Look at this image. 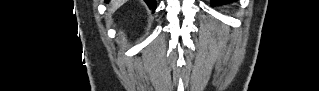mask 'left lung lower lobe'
Here are the masks:
<instances>
[{
    "label": "left lung lower lobe",
    "mask_w": 319,
    "mask_h": 91,
    "mask_svg": "<svg viewBox=\"0 0 319 91\" xmlns=\"http://www.w3.org/2000/svg\"><path fill=\"white\" fill-rule=\"evenodd\" d=\"M233 1L234 0H211V5L227 4Z\"/></svg>",
    "instance_id": "0a47b994"
}]
</instances>
